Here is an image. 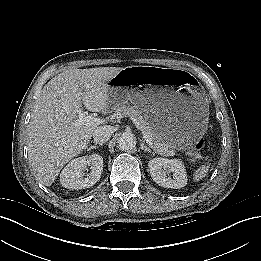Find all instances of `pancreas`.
I'll return each mask as SVG.
<instances>
[{
	"label": "pancreas",
	"instance_id": "pancreas-1",
	"mask_svg": "<svg viewBox=\"0 0 261 261\" xmlns=\"http://www.w3.org/2000/svg\"><path fill=\"white\" fill-rule=\"evenodd\" d=\"M114 110V118L121 119L124 117H130L134 123L138 126L139 129H143L145 132H147L150 137L153 140V149L163 156H173L175 155V148L174 146L169 143L162 141L160 138L156 136L154 131L152 130L149 122L147 119L142 115V111L139 110L135 106H126V105H120L116 108H113Z\"/></svg>",
	"mask_w": 261,
	"mask_h": 261
}]
</instances>
